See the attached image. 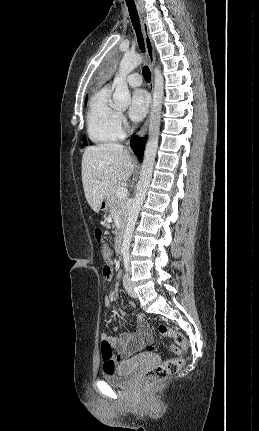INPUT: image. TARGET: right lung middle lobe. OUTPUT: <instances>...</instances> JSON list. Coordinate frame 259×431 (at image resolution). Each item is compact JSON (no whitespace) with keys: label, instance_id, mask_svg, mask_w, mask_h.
Listing matches in <instances>:
<instances>
[{"label":"right lung middle lobe","instance_id":"obj_1","mask_svg":"<svg viewBox=\"0 0 259 431\" xmlns=\"http://www.w3.org/2000/svg\"><path fill=\"white\" fill-rule=\"evenodd\" d=\"M84 144H86L85 137L83 138Z\"/></svg>","mask_w":259,"mask_h":431}]
</instances>
